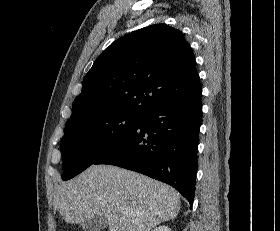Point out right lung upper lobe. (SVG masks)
Segmentation results:
<instances>
[{
	"mask_svg": "<svg viewBox=\"0 0 280 231\" xmlns=\"http://www.w3.org/2000/svg\"><path fill=\"white\" fill-rule=\"evenodd\" d=\"M201 91L195 57L182 32L155 24L125 35L99 55L84 77L70 119L142 116Z\"/></svg>",
	"mask_w": 280,
	"mask_h": 231,
	"instance_id": "cb5924a9",
	"label": "right lung upper lobe"
}]
</instances>
